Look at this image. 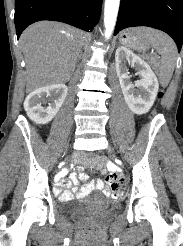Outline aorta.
Masks as SVG:
<instances>
[{
    "instance_id": "1",
    "label": "aorta",
    "mask_w": 183,
    "mask_h": 246,
    "mask_svg": "<svg viewBox=\"0 0 183 246\" xmlns=\"http://www.w3.org/2000/svg\"><path fill=\"white\" fill-rule=\"evenodd\" d=\"M120 0H105L104 7V26H105V38L109 39L114 30L118 10H119Z\"/></svg>"
}]
</instances>
